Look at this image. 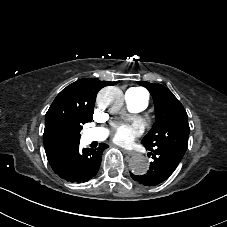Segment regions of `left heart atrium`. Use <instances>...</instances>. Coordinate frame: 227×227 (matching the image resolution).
<instances>
[{
    "label": "left heart atrium",
    "mask_w": 227,
    "mask_h": 227,
    "mask_svg": "<svg viewBox=\"0 0 227 227\" xmlns=\"http://www.w3.org/2000/svg\"><path fill=\"white\" fill-rule=\"evenodd\" d=\"M144 132V123L134 120L131 123L114 122L111 125L112 141L118 144L131 143L136 137Z\"/></svg>",
    "instance_id": "39dd6f15"
}]
</instances>
